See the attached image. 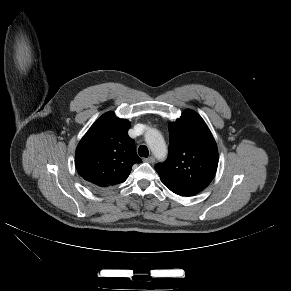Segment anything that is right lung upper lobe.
Here are the masks:
<instances>
[{
	"label": "right lung upper lobe",
	"mask_w": 291,
	"mask_h": 291,
	"mask_svg": "<svg viewBox=\"0 0 291 291\" xmlns=\"http://www.w3.org/2000/svg\"><path fill=\"white\" fill-rule=\"evenodd\" d=\"M130 122L114 112L102 115L79 142L75 166L80 176L97 189L124 182L132 165L140 163L135 142L128 136Z\"/></svg>",
	"instance_id": "1"
}]
</instances>
